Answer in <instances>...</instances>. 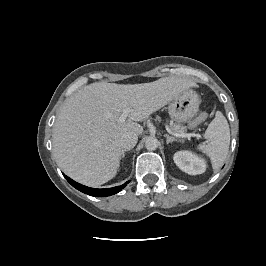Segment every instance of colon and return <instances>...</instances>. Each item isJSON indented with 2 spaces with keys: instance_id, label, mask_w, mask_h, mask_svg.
Here are the masks:
<instances>
[{
  "instance_id": "1",
  "label": "colon",
  "mask_w": 266,
  "mask_h": 266,
  "mask_svg": "<svg viewBox=\"0 0 266 266\" xmlns=\"http://www.w3.org/2000/svg\"><path fill=\"white\" fill-rule=\"evenodd\" d=\"M207 119L206 113L199 114L195 119L189 122L188 126L190 128H196L200 124H202Z\"/></svg>"
}]
</instances>
